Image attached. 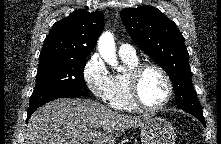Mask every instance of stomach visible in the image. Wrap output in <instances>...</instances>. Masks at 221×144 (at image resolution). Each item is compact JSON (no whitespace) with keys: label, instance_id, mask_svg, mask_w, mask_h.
<instances>
[{"label":"stomach","instance_id":"obj_1","mask_svg":"<svg viewBox=\"0 0 221 144\" xmlns=\"http://www.w3.org/2000/svg\"><path fill=\"white\" fill-rule=\"evenodd\" d=\"M142 144H174L175 128L162 117H152L140 129Z\"/></svg>","mask_w":221,"mask_h":144}]
</instances>
